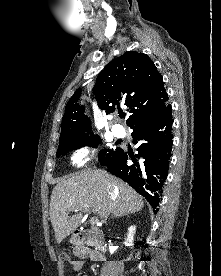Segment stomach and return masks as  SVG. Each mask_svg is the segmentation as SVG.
Instances as JSON below:
<instances>
[{
    "label": "stomach",
    "mask_w": 221,
    "mask_h": 276,
    "mask_svg": "<svg viewBox=\"0 0 221 276\" xmlns=\"http://www.w3.org/2000/svg\"><path fill=\"white\" fill-rule=\"evenodd\" d=\"M70 242L75 244L77 242V238L75 236H72Z\"/></svg>",
    "instance_id": "obj_1"
}]
</instances>
